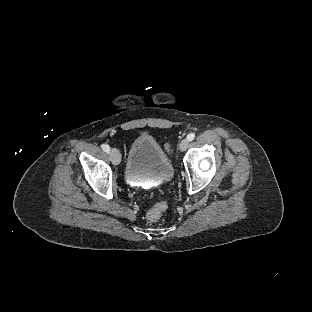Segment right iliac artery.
Wrapping results in <instances>:
<instances>
[{
    "mask_svg": "<svg viewBox=\"0 0 312 312\" xmlns=\"http://www.w3.org/2000/svg\"><path fill=\"white\" fill-rule=\"evenodd\" d=\"M101 148L103 149V151H105V152H107V153H109V151H110V147H109V145H107V144H102V145H101Z\"/></svg>",
    "mask_w": 312,
    "mask_h": 312,
    "instance_id": "1",
    "label": "right iliac artery"
}]
</instances>
